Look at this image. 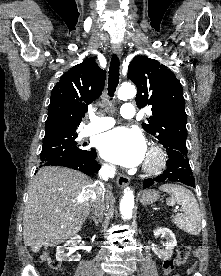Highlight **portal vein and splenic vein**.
Wrapping results in <instances>:
<instances>
[{"label": "portal vein and splenic vein", "instance_id": "1", "mask_svg": "<svg viewBox=\"0 0 221 276\" xmlns=\"http://www.w3.org/2000/svg\"><path fill=\"white\" fill-rule=\"evenodd\" d=\"M173 211H174V212H177V208H175Z\"/></svg>", "mask_w": 221, "mask_h": 276}]
</instances>
